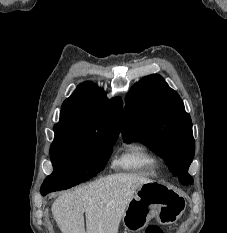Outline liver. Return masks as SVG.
<instances>
[{
    "mask_svg": "<svg viewBox=\"0 0 227 233\" xmlns=\"http://www.w3.org/2000/svg\"><path fill=\"white\" fill-rule=\"evenodd\" d=\"M151 182L131 173L105 176L59 196L52 205L53 217L62 233H118L134 194Z\"/></svg>",
    "mask_w": 227,
    "mask_h": 233,
    "instance_id": "1",
    "label": "liver"
}]
</instances>
